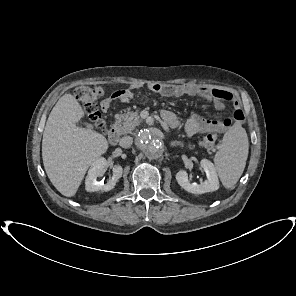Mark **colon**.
<instances>
[{
    "label": "colon",
    "instance_id": "1",
    "mask_svg": "<svg viewBox=\"0 0 296 296\" xmlns=\"http://www.w3.org/2000/svg\"><path fill=\"white\" fill-rule=\"evenodd\" d=\"M103 94L101 87L82 86L76 90V98L80 102L81 108L86 116L99 128H103V120L99 111L97 100ZM217 135L215 133L206 134L201 145L206 148L215 146Z\"/></svg>",
    "mask_w": 296,
    "mask_h": 296
}]
</instances>
